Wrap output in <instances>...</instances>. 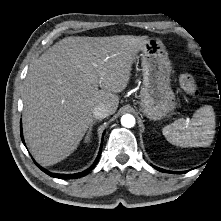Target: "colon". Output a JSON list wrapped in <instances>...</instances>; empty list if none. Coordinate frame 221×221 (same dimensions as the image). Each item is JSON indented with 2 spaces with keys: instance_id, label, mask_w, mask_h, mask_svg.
I'll return each mask as SVG.
<instances>
[{
  "instance_id": "5ec220e1",
  "label": "colon",
  "mask_w": 221,
  "mask_h": 221,
  "mask_svg": "<svg viewBox=\"0 0 221 221\" xmlns=\"http://www.w3.org/2000/svg\"><path fill=\"white\" fill-rule=\"evenodd\" d=\"M179 82H180V86L182 90L186 92L187 94L193 95V96L198 94V87L192 75L187 74V73L182 74L180 76Z\"/></svg>"
}]
</instances>
